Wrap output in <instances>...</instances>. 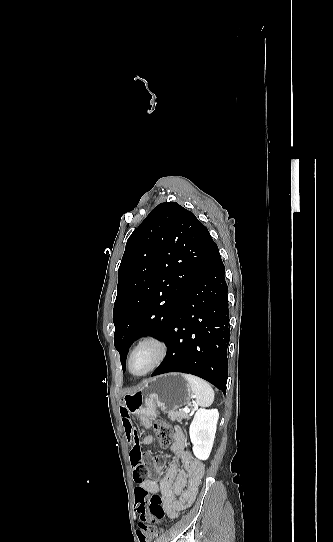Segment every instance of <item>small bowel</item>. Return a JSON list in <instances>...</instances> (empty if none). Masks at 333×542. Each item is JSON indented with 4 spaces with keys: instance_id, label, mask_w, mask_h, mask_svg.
Returning <instances> with one entry per match:
<instances>
[{
    "instance_id": "1",
    "label": "small bowel",
    "mask_w": 333,
    "mask_h": 542,
    "mask_svg": "<svg viewBox=\"0 0 333 542\" xmlns=\"http://www.w3.org/2000/svg\"><path fill=\"white\" fill-rule=\"evenodd\" d=\"M121 418L129 442L130 459L135 464L142 457L141 442L149 445L153 442V436L149 433L145 434L140 441L137 428L134 426L137 420L132 409H122ZM141 422L145 428L151 427L149 418ZM170 449L173 458L163 477L159 481L145 480L139 483V487L151 493H160L168 517L176 518L194 502L205 474V465L186 450L185 435L179 429L176 430ZM143 459L150 463L154 456L147 452ZM155 460L158 463H163L166 460V455L163 452H158L155 455ZM156 473L160 474L161 469H156Z\"/></svg>"
}]
</instances>
